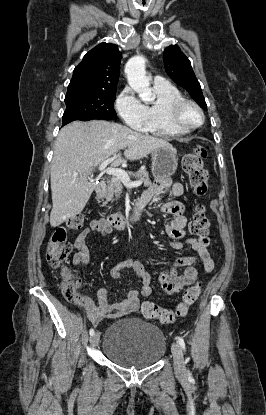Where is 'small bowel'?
<instances>
[{
    "label": "small bowel",
    "mask_w": 266,
    "mask_h": 415,
    "mask_svg": "<svg viewBox=\"0 0 266 415\" xmlns=\"http://www.w3.org/2000/svg\"><path fill=\"white\" fill-rule=\"evenodd\" d=\"M184 187L179 182H172L168 178L160 179L151 185L140 197L139 202L148 204L152 201H158L163 196L178 197L183 194ZM159 212L171 215V219L165 226L166 234L173 239L171 246L175 250H181L185 246L191 247L196 256H186L176 260L170 271H164L159 276V282L163 292L167 295L179 293L184 287L194 283L200 271L209 273L214 268L212 256L208 250L209 238H187L185 237V226L187 218L184 215L185 206L182 202L174 200L167 202L161 206ZM111 228L107 226L105 220H94L89 227L84 229L75 239L74 248L76 253L73 255L72 264H88L90 261L89 250L86 245L88 236L92 233L106 236ZM185 267L182 274L179 269ZM130 269L137 277L140 284V293L148 296L152 292L150 285V276L144 270L143 266L136 261H126L115 265L110 275L118 279L121 277L123 269ZM78 288L81 280L76 277ZM139 291L131 289L127 292L124 299L115 304L108 301V293L106 290L98 292V302L96 305L91 298L78 292L77 297L72 301L76 306L80 307L87 315L93 325H98L104 319H118L133 313L139 309L140 302L138 299Z\"/></svg>",
    "instance_id": "obj_1"
}]
</instances>
